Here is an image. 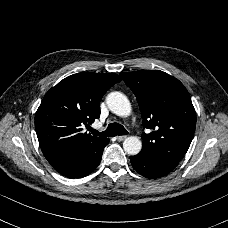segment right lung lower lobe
<instances>
[{
	"instance_id": "98d812e1",
	"label": "right lung lower lobe",
	"mask_w": 228,
	"mask_h": 228,
	"mask_svg": "<svg viewBox=\"0 0 228 228\" xmlns=\"http://www.w3.org/2000/svg\"><path fill=\"white\" fill-rule=\"evenodd\" d=\"M109 143L108 138H99L86 146L80 152L49 163L62 175L70 178H82L97 168L101 161L104 147Z\"/></svg>"
}]
</instances>
